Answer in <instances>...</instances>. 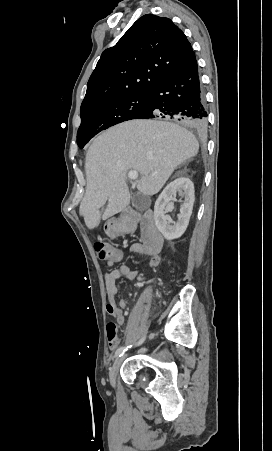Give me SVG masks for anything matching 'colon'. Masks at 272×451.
<instances>
[{"instance_id":"colon-1","label":"colon","mask_w":272,"mask_h":451,"mask_svg":"<svg viewBox=\"0 0 272 451\" xmlns=\"http://www.w3.org/2000/svg\"><path fill=\"white\" fill-rule=\"evenodd\" d=\"M95 250L97 252V260L99 262H104L106 257L109 256H121V247H108L107 244L102 242H96ZM106 334L107 340L110 346H115L117 344L118 336V325L114 321H109L106 323Z\"/></svg>"}]
</instances>
